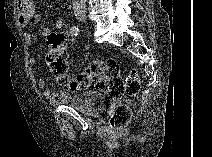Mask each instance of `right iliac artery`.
I'll return each mask as SVG.
<instances>
[{"instance_id": "right-iliac-artery-1", "label": "right iliac artery", "mask_w": 212, "mask_h": 157, "mask_svg": "<svg viewBox=\"0 0 212 157\" xmlns=\"http://www.w3.org/2000/svg\"><path fill=\"white\" fill-rule=\"evenodd\" d=\"M70 33H71L72 35L77 36V35L79 34V28H78L77 26H72V27L70 28Z\"/></svg>"}]
</instances>
